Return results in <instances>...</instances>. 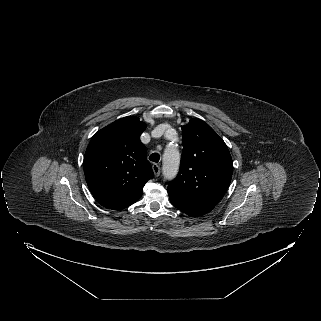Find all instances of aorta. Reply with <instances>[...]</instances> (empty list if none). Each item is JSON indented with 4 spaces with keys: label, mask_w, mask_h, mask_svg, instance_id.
I'll use <instances>...</instances> for the list:
<instances>
[{
    "label": "aorta",
    "mask_w": 321,
    "mask_h": 321,
    "mask_svg": "<svg viewBox=\"0 0 321 321\" xmlns=\"http://www.w3.org/2000/svg\"><path fill=\"white\" fill-rule=\"evenodd\" d=\"M172 135L175 134L171 131ZM180 164V153L176 148L168 146L163 154L162 171L166 179L171 180L176 177Z\"/></svg>",
    "instance_id": "aorta-1"
}]
</instances>
